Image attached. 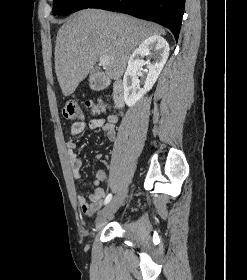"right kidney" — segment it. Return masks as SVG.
I'll return each instance as SVG.
<instances>
[{
	"mask_svg": "<svg viewBox=\"0 0 247 280\" xmlns=\"http://www.w3.org/2000/svg\"><path fill=\"white\" fill-rule=\"evenodd\" d=\"M147 56L148 60L143 61ZM169 56V44L160 35L146 38L133 52L123 78L124 100L127 106L133 107L157 81ZM151 59L153 61L151 62ZM147 66L148 74L143 88L137 80V72Z\"/></svg>",
	"mask_w": 247,
	"mask_h": 280,
	"instance_id": "obj_1",
	"label": "right kidney"
}]
</instances>
